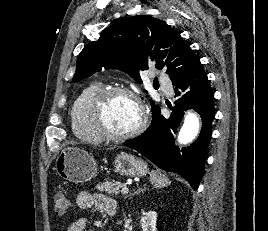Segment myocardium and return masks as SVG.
Returning <instances> with one entry per match:
<instances>
[{"label":"myocardium","instance_id":"obj_1","mask_svg":"<svg viewBox=\"0 0 268 231\" xmlns=\"http://www.w3.org/2000/svg\"><path fill=\"white\" fill-rule=\"evenodd\" d=\"M121 95L135 101L140 110V120L136 127L125 133H113L105 127L103 110L110 97ZM88 120L96 136L109 141H124L139 135L147 124V111L141 98L123 86H108L99 90L91 99L88 107Z\"/></svg>","mask_w":268,"mask_h":231}]
</instances>
